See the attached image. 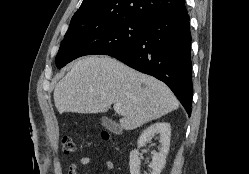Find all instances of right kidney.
I'll list each match as a JSON object with an SVG mask.
<instances>
[{
    "instance_id": "right-kidney-1",
    "label": "right kidney",
    "mask_w": 249,
    "mask_h": 174,
    "mask_svg": "<svg viewBox=\"0 0 249 174\" xmlns=\"http://www.w3.org/2000/svg\"><path fill=\"white\" fill-rule=\"evenodd\" d=\"M154 134H159L160 150L158 153L154 152L150 168L152 169L151 174H160L165 167L166 157L170 147L171 127L165 122L152 124L141 134L137 142L138 149L150 142ZM138 149H135L130 153L129 166L131 174H140V159Z\"/></svg>"
}]
</instances>
